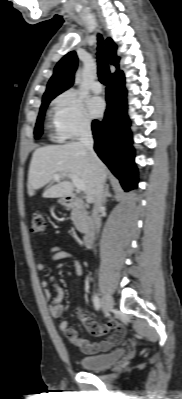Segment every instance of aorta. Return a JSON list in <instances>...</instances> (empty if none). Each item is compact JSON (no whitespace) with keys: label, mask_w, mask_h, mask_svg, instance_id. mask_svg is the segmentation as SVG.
I'll return each mask as SVG.
<instances>
[{"label":"aorta","mask_w":182,"mask_h":399,"mask_svg":"<svg viewBox=\"0 0 182 399\" xmlns=\"http://www.w3.org/2000/svg\"><path fill=\"white\" fill-rule=\"evenodd\" d=\"M82 71L79 69L75 74V83L78 84L81 81Z\"/></svg>","instance_id":"aorta-1"}]
</instances>
